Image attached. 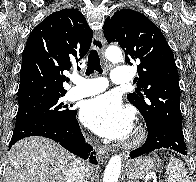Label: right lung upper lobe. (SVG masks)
<instances>
[{
	"label": "right lung upper lobe",
	"mask_w": 196,
	"mask_h": 182,
	"mask_svg": "<svg viewBox=\"0 0 196 182\" xmlns=\"http://www.w3.org/2000/svg\"><path fill=\"white\" fill-rule=\"evenodd\" d=\"M93 32L77 9L54 12L28 37L22 56L18 103L65 95L64 70L88 52Z\"/></svg>",
	"instance_id": "right-lung-upper-lobe-1"
}]
</instances>
